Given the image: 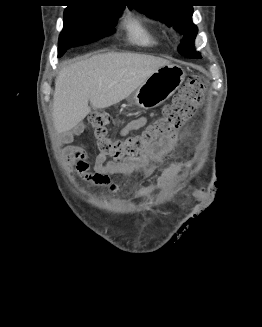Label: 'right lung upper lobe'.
Wrapping results in <instances>:
<instances>
[{
  "label": "right lung upper lobe",
  "instance_id": "cb5924a9",
  "mask_svg": "<svg viewBox=\"0 0 262 327\" xmlns=\"http://www.w3.org/2000/svg\"><path fill=\"white\" fill-rule=\"evenodd\" d=\"M70 1H72L73 3H77L75 5H89L93 7L112 8V9H119V10H123L124 8V6H117L111 4L113 3L112 0H70ZM75 5H70L68 7L75 6Z\"/></svg>",
  "mask_w": 262,
  "mask_h": 327
}]
</instances>
